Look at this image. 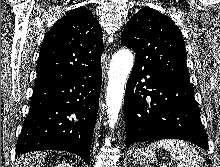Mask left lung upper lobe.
<instances>
[{"instance_id":"1","label":"left lung upper lobe","mask_w":220,"mask_h":167,"mask_svg":"<svg viewBox=\"0 0 220 167\" xmlns=\"http://www.w3.org/2000/svg\"><path fill=\"white\" fill-rule=\"evenodd\" d=\"M121 42L133 48L136 64L189 78L182 33L164 14L148 7L142 8L128 21Z\"/></svg>"}]
</instances>
